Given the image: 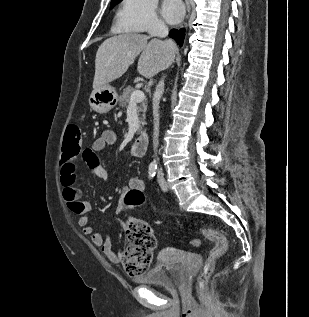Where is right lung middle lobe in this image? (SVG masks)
Wrapping results in <instances>:
<instances>
[{
    "mask_svg": "<svg viewBox=\"0 0 309 317\" xmlns=\"http://www.w3.org/2000/svg\"><path fill=\"white\" fill-rule=\"evenodd\" d=\"M121 0H112L111 2V8L116 5L117 3H119Z\"/></svg>",
    "mask_w": 309,
    "mask_h": 317,
    "instance_id": "1",
    "label": "right lung middle lobe"
}]
</instances>
